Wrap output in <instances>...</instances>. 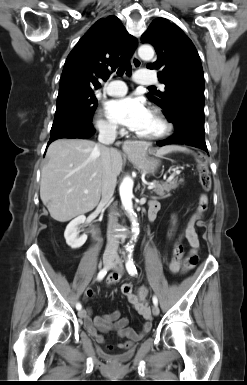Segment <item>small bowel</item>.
Here are the masks:
<instances>
[{
    "instance_id": "small-bowel-1",
    "label": "small bowel",
    "mask_w": 247,
    "mask_h": 385,
    "mask_svg": "<svg viewBox=\"0 0 247 385\" xmlns=\"http://www.w3.org/2000/svg\"><path fill=\"white\" fill-rule=\"evenodd\" d=\"M159 203L156 201H151L149 203V211L153 210L156 212V215L159 211ZM202 217V212H199L198 209L193 214L189 216L187 219L185 226L181 232L182 236H185L189 242L191 247L190 255H196V252L199 247L198 236L194 230V225L196 222L200 223V219ZM176 224V219L173 220V227L170 232V236H172L174 227ZM187 259L184 262L177 263L174 260L171 261L169 268L170 271L174 274L178 273H186L194 266L189 265L187 263ZM121 273L113 272L109 274L107 277V284L113 285L118 283L121 280ZM128 285L130 288V293L126 294L128 301L134 307V309L143 317L144 324L142 329L137 331L133 328L129 327V319L127 317L121 316L119 311H114L109 314H103L91 317V310L88 309L86 316L84 317V326L87 332L95 337L96 341L99 344H105V339L101 335V333H106L109 331H116L117 334L121 338H126L127 341L118 345L119 348L128 349L132 346L133 342L142 339L151 329L152 327V316L149 303L147 301V289L145 287L139 288L136 293H133L131 284ZM94 296V291L91 289H87L85 291V299H89Z\"/></svg>"
}]
</instances>
